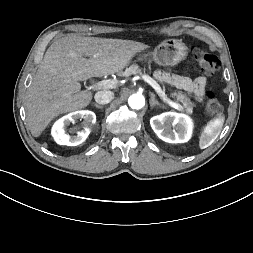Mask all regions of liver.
<instances>
[{
  "instance_id": "6515ba94",
  "label": "liver",
  "mask_w": 253,
  "mask_h": 253,
  "mask_svg": "<svg viewBox=\"0 0 253 253\" xmlns=\"http://www.w3.org/2000/svg\"><path fill=\"white\" fill-rule=\"evenodd\" d=\"M147 45L121 39L67 36L46 51L26 96V117L39 137L58 115L85 108L93 93L78 81L121 73ZM89 57V59L85 58Z\"/></svg>"
}]
</instances>
